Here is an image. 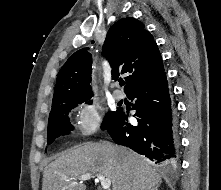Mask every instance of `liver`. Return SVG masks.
Instances as JSON below:
<instances>
[{"instance_id":"1","label":"liver","mask_w":221,"mask_h":190,"mask_svg":"<svg viewBox=\"0 0 221 190\" xmlns=\"http://www.w3.org/2000/svg\"><path fill=\"white\" fill-rule=\"evenodd\" d=\"M91 173L111 180L112 190H152L161 176L134 151L110 142H87L57 156L43 172L42 190H86L82 182L68 181Z\"/></svg>"}]
</instances>
